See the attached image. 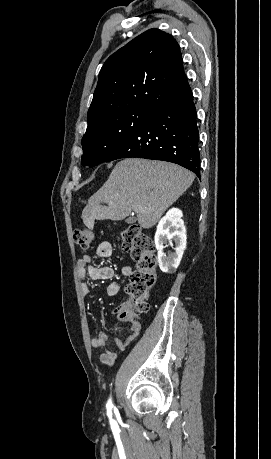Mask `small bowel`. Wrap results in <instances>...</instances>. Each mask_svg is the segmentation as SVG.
Segmentation results:
<instances>
[{"label":"small bowel","instance_id":"1","mask_svg":"<svg viewBox=\"0 0 271 459\" xmlns=\"http://www.w3.org/2000/svg\"><path fill=\"white\" fill-rule=\"evenodd\" d=\"M99 258H109L112 255V245L108 241H102L98 244L95 252ZM122 275L130 277L132 269L128 266L121 268ZM78 274L81 279L91 280H109L114 277V270L111 267H97L92 264V257L90 255H83L78 261ZM82 294L88 296L90 288L87 284H82ZM120 291V284L116 281L111 282L107 287V295L115 296ZM123 306L116 308L113 313L119 320L128 322L130 324L128 333L122 338H115V346L118 350H125L126 347L138 336L141 331L139 322L131 318H126L122 315ZM106 333H100L98 336L91 339V346L94 350L100 351L99 359L105 365L112 367L117 361V354L106 348V341L108 339Z\"/></svg>","mask_w":271,"mask_h":459}]
</instances>
